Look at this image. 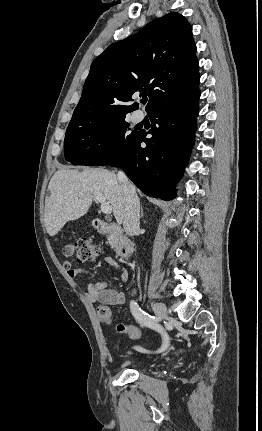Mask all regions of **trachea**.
Masks as SVG:
<instances>
[{
	"label": "trachea",
	"mask_w": 262,
	"mask_h": 431,
	"mask_svg": "<svg viewBox=\"0 0 262 431\" xmlns=\"http://www.w3.org/2000/svg\"><path fill=\"white\" fill-rule=\"evenodd\" d=\"M141 102H142L143 104H146L147 99H142V100H141Z\"/></svg>",
	"instance_id": "trachea-1"
}]
</instances>
